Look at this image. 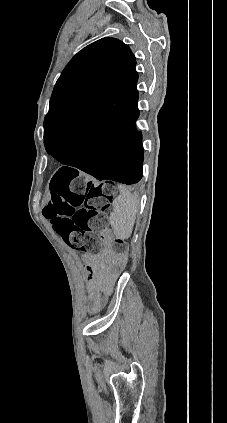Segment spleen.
Here are the masks:
<instances>
[{"label":"spleen","instance_id":"3e777b00","mask_svg":"<svg viewBox=\"0 0 227 423\" xmlns=\"http://www.w3.org/2000/svg\"><path fill=\"white\" fill-rule=\"evenodd\" d=\"M119 196L113 200V211L109 217L112 229L119 239H127L133 231L139 202L136 196L127 192L123 186H118Z\"/></svg>","mask_w":227,"mask_h":423}]
</instances>
